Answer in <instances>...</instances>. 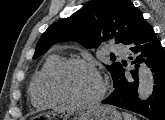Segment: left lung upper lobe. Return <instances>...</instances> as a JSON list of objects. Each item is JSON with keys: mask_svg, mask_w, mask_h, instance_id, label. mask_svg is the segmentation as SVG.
Returning a JSON list of instances; mask_svg holds the SVG:
<instances>
[{"mask_svg": "<svg viewBox=\"0 0 165 120\" xmlns=\"http://www.w3.org/2000/svg\"><path fill=\"white\" fill-rule=\"evenodd\" d=\"M142 18L129 0H93L70 17L52 24L41 36L33 58L60 41H78L87 48H97L108 40L126 44ZM106 68L115 87L121 64L113 63Z\"/></svg>", "mask_w": 165, "mask_h": 120, "instance_id": "1", "label": "left lung upper lobe"}]
</instances>
